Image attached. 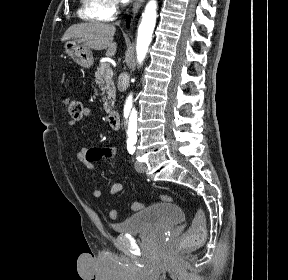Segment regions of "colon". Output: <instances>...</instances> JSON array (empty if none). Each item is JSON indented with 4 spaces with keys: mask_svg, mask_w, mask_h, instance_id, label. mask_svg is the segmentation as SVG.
<instances>
[{
    "mask_svg": "<svg viewBox=\"0 0 288 280\" xmlns=\"http://www.w3.org/2000/svg\"><path fill=\"white\" fill-rule=\"evenodd\" d=\"M63 104L67 112L73 119L79 120L83 117L84 107L80 101L67 97L63 100ZM172 199L173 198L169 195L161 196V200L164 202H170L172 201ZM143 207L144 204L142 202H135L132 205L133 210H140ZM109 215L111 219L115 220L118 218V211L116 209H113L110 211ZM205 237H206V218L203 211L197 208L195 210L191 227L181 238L180 246L183 249L197 246L203 243Z\"/></svg>",
    "mask_w": 288,
    "mask_h": 280,
    "instance_id": "obj_1",
    "label": "colon"
}]
</instances>
